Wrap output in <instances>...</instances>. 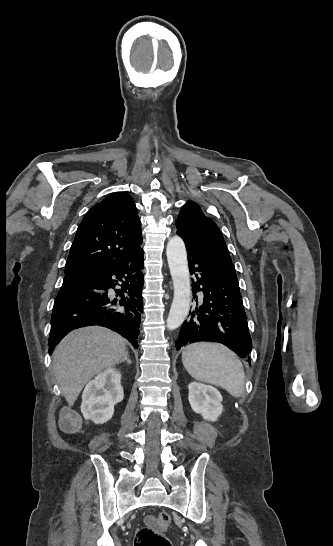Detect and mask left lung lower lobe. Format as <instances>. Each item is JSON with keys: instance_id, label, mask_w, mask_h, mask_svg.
<instances>
[{"instance_id": "left-lung-lower-lobe-1", "label": "left lung lower lobe", "mask_w": 333, "mask_h": 546, "mask_svg": "<svg viewBox=\"0 0 333 546\" xmlns=\"http://www.w3.org/2000/svg\"><path fill=\"white\" fill-rule=\"evenodd\" d=\"M179 236L185 242L190 273L195 274L196 279L192 283L195 305L181 326L176 349L209 340L249 358L252 341L234 265L200 251ZM199 292L203 297L197 296Z\"/></svg>"}]
</instances>
